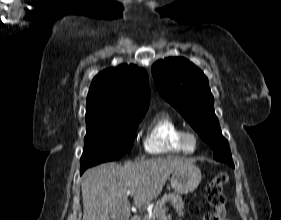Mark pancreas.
I'll return each mask as SVG.
<instances>
[{
  "label": "pancreas",
  "mask_w": 281,
  "mask_h": 220,
  "mask_svg": "<svg viewBox=\"0 0 281 220\" xmlns=\"http://www.w3.org/2000/svg\"><path fill=\"white\" fill-rule=\"evenodd\" d=\"M166 202H170L172 207L179 215L184 214V202L182 200V197L178 193H168L157 201L152 216H146L142 220H162L160 212L162 211Z\"/></svg>",
  "instance_id": "cf45deb5"
}]
</instances>
